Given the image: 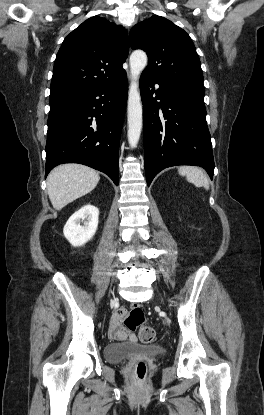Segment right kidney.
<instances>
[{"instance_id":"obj_1","label":"right kidney","mask_w":264,"mask_h":415,"mask_svg":"<svg viewBox=\"0 0 264 415\" xmlns=\"http://www.w3.org/2000/svg\"><path fill=\"white\" fill-rule=\"evenodd\" d=\"M98 216V208L87 204L68 219L63 233L72 246H82L93 238L98 227ZM80 222L83 225H80Z\"/></svg>"}]
</instances>
